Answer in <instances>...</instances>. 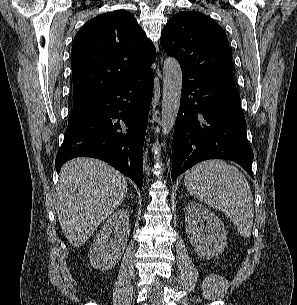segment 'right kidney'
<instances>
[{
    "label": "right kidney",
    "instance_id": "ca27d5eb",
    "mask_svg": "<svg viewBox=\"0 0 297 305\" xmlns=\"http://www.w3.org/2000/svg\"><path fill=\"white\" fill-rule=\"evenodd\" d=\"M129 233L128 211L120 208L97 233L89 254L91 265L102 270L115 266L127 246Z\"/></svg>",
    "mask_w": 297,
    "mask_h": 305
}]
</instances>
